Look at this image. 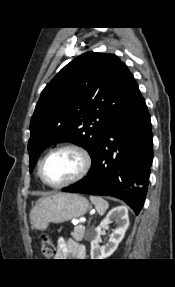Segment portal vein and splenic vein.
<instances>
[{"mask_svg":"<svg viewBox=\"0 0 175 287\" xmlns=\"http://www.w3.org/2000/svg\"><path fill=\"white\" fill-rule=\"evenodd\" d=\"M83 222H85V219H82V220H81V223H83ZM80 226H82V225H80Z\"/></svg>","mask_w":175,"mask_h":287,"instance_id":"obj_1","label":"portal vein and splenic vein"}]
</instances>
